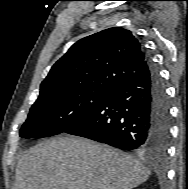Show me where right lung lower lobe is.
<instances>
[{"instance_id":"obj_1","label":"right lung lower lobe","mask_w":188,"mask_h":189,"mask_svg":"<svg viewBox=\"0 0 188 189\" xmlns=\"http://www.w3.org/2000/svg\"><path fill=\"white\" fill-rule=\"evenodd\" d=\"M111 91L81 122L65 131L123 149L165 153L170 140L169 101L156 67Z\"/></svg>"}]
</instances>
